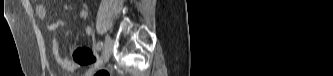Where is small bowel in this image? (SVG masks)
<instances>
[{"instance_id": "small-bowel-1", "label": "small bowel", "mask_w": 333, "mask_h": 76, "mask_svg": "<svg viewBox=\"0 0 333 76\" xmlns=\"http://www.w3.org/2000/svg\"><path fill=\"white\" fill-rule=\"evenodd\" d=\"M36 13L40 18H45L48 13L47 7L44 4H38L36 6ZM81 18L83 20L89 19L87 10L81 11ZM67 26L68 22L66 20H60L55 24H50L48 28L51 31H59L64 30ZM86 34L89 36L94 34L92 26L88 25L86 27ZM51 49L60 67L67 71H74L78 67L88 64L92 61V57L94 56V51L90 50L89 44H78L77 49L73 51V60L62 57L60 55V44L56 38L52 40Z\"/></svg>"}]
</instances>
